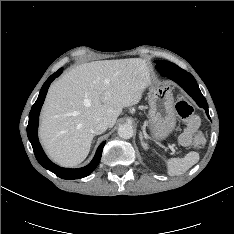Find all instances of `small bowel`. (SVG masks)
<instances>
[{"label":"small bowel","mask_w":234,"mask_h":234,"mask_svg":"<svg viewBox=\"0 0 234 234\" xmlns=\"http://www.w3.org/2000/svg\"><path fill=\"white\" fill-rule=\"evenodd\" d=\"M196 119H197V126H195V127L187 126V128L184 129V131L182 132V134L180 136V143L184 146H187L190 144L192 135L199 125V119L197 116H196Z\"/></svg>","instance_id":"c3829d8e"}]
</instances>
